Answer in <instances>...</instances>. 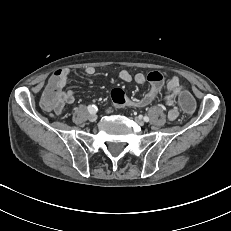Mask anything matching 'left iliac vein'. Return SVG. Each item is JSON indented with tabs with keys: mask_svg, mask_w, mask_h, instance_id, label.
<instances>
[{
	"mask_svg": "<svg viewBox=\"0 0 231 231\" xmlns=\"http://www.w3.org/2000/svg\"><path fill=\"white\" fill-rule=\"evenodd\" d=\"M135 121L139 126H143L144 125V121L141 117H135Z\"/></svg>",
	"mask_w": 231,
	"mask_h": 231,
	"instance_id": "obj_1",
	"label": "left iliac vein"
}]
</instances>
